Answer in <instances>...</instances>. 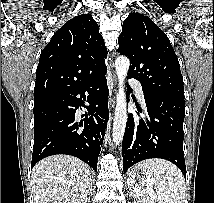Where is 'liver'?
I'll list each match as a JSON object with an SVG mask.
<instances>
[{
    "instance_id": "6515ba94",
    "label": "liver",
    "mask_w": 214,
    "mask_h": 203,
    "mask_svg": "<svg viewBox=\"0 0 214 203\" xmlns=\"http://www.w3.org/2000/svg\"><path fill=\"white\" fill-rule=\"evenodd\" d=\"M34 203H87L92 193L89 166L69 155L38 162L31 176Z\"/></svg>"
}]
</instances>
